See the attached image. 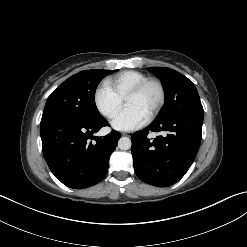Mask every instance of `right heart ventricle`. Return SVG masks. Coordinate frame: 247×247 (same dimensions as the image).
<instances>
[{
	"mask_svg": "<svg viewBox=\"0 0 247 247\" xmlns=\"http://www.w3.org/2000/svg\"><path fill=\"white\" fill-rule=\"evenodd\" d=\"M148 79V76L139 71H125L107 81V85L122 100L126 94L139 83Z\"/></svg>",
	"mask_w": 247,
	"mask_h": 247,
	"instance_id": "right-heart-ventricle-1",
	"label": "right heart ventricle"
}]
</instances>
